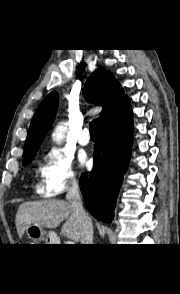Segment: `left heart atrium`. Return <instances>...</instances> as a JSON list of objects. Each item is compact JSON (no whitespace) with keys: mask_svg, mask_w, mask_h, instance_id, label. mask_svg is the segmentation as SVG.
<instances>
[{"mask_svg":"<svg viewBox=\"0 0 180 294\" xmlns=\"http://www.w3.org/2000/svg\"><path fill=\"white\" fill-rule=\"evenodd\" d=\"M79 161L82 166H87L89 164L88 159L85 155L80 156Z\"/></svg>","mask_w":180,"mask_h":294,"instance_id":"39dd6f15","label":"left heart atrium"}]
</instances>
